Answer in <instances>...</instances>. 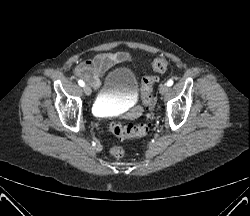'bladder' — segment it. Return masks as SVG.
I'll list each match as a JSON object with an SVG mask.
<instances>
[{"label":"bladder","mask_w":250,"mask_h":216,"mask_svg":"<svg viewBox=\"0 0 250 216\" xmlns=\"http://www.w3.org/2000/svg\"><path fill=\"white\" fill-rule=\"evenodd\" d=\"M138 79L126 67H118L107 73L94 103L97 114H105L121 102H130L137 95Z\"/></svg>","instance_id":"obj_1"}]
</instances>
